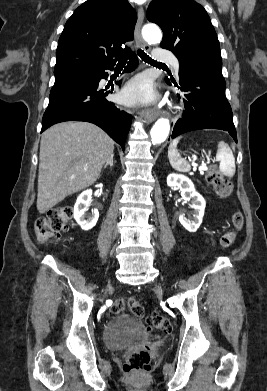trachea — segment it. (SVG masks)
I'll return each mask as SVG.
<instances>
[{
    "instance_id": "3493384b",
    "label": "trachea",
    "mask_w": 267,
    "mask_h": 391,
    "mask_svg": "<svg viewBox=\"0 0 267 391\" xmlns=\"http://www.w3.org/2000/svg\"><path fill=\"white\" fill-rule=\"evenodd\" d=\"M137 54L140 56V58L148 63V64H151V65H154V66H165L164 63H160V62H157L155 60H153L152 58H150L143 50L141 49H138L137 50ZM126 64V60H122L118 63V65H125Z\"/></svg>"
}]
</instances>
